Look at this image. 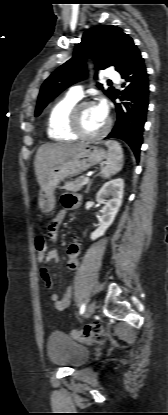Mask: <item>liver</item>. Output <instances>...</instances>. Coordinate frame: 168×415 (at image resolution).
<instances>
[{
    "label": "liver",
    "mask_w": 168,
    "mask_h": 415,
    "mask_svg": "<svg viewBox=\"0 0 168 415\" xmlns=\"http://www.w3.org/2000/svg\"><path fill=\"white\" fill-rule=\"evenodd\" d=\"M83 143H49L42 145L36 153L34 166L39 185L42 187L46 176L57 164L77 153Z\"/></svg>",
    "instance_id": "obj_1"
}]
</instances>
